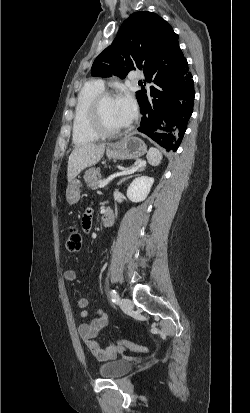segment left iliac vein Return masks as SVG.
<instances>
[{
	"label": "left iliac vein",
	"instance_id": "obj_1",
	"mask_svg": "<svg viewBox=\"0 0 250 413\" xmlns=\"http://www.w3.org/2000/svg\"><path fill=\"white\" fill-rule=\"evenodd\" d=\"M119 306L121 307V309L123 310V311H131L132 309H133V303H132V301L130 300V299H128V298H122L120 301H119Z\"/></svg>",
	"mask_w": 250,
	"mask_h": 413
}]
</instances>
